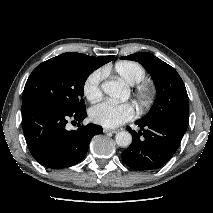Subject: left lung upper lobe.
Returning <instances> with one entry per match:
<instances>
[{
	"label": "left lung upper lobe",
	"instance_id": "1",
	"mask_svg": "<svg viewBox=\"0 0 213 213\" xmlns=\"http://www.w3.org/2000/svg\"><path fill=\"white\" fill-rule=\"evenodd\" d=\"M121 59L133 60L142 64L151 74L157 98L151 110L140 122L170 120L188 126L189 101L185 85L177 71L156 56L140 52Z\"/></svg>",
	"mask_w": 213,
	"mask_h": 213
}]
</instances>
